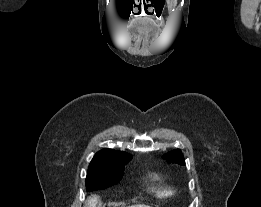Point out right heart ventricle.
Returning a JSON list of instances; mask_svg holds the SVG:
<instances>
[{"mask_svg": "<svg viewBox=\"0 0 261 207\" xmlns=\"http://www.w3.org/2000/svg\"><path fill=\"white\" fill-rule=\"evenodd\" d=\"M154 179L157 181L155 192L158 197H170L174 194V188L167 183L162 175L155 173Z\"/></svg>", "mask_w": 261, "mask_h": 207, "instance_id": "1", "label": "right heart ventricle"}]
</instances>
